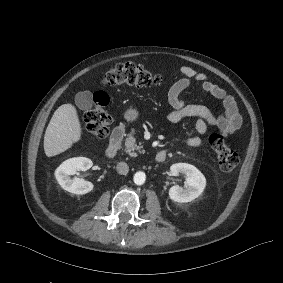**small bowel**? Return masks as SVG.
Returning a JSON list of instances; mask_svg holds the SVG:
<instances>
[{
	"label": "small bowel",
	"mask_w": 283,
	"mask_h": 283,
	"mask_svg": "<svg viewBox=\"0 0 283 283\" xmlns=\"http://www.w3.org/2000/svg\"><path fill=\"white\" fill-rule=\"evenodd\" d=\"M182 77L174 82L168 90V102L172 107L167 119L170 123H179L185 118H196L194 130L199 136H191L183 140V144L190 147H199L203 141L200 136L207 133L210 127L217 128L225 136L238 131L242 125V118L233 96L226 90L213 83L205 73L196 71L190 66H181ZM193 84L202 91L221 100L224 113L214 116L210 109L202 104H189L182 98V93Z\"/></svg>",
	"instance_id": "1"
}]
</instances>
